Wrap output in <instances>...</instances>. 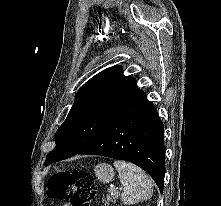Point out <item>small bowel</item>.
<instances>
[{
	"mask_svg": "<svg viewBox=\"0 0 221 206\" xmlns=\"http://www.w3.org/2000/svg\"><path fill=\"white\" fill-rule=\"evenodd\" d=\"M63 206H69L68 204H65V205H63Z\"/></svg>",
	"mask_w": 221,
	"mask_h": 206,
	"instance_id": "small-bowel-1",
	"label": "small bowel"
}]
</instances>
